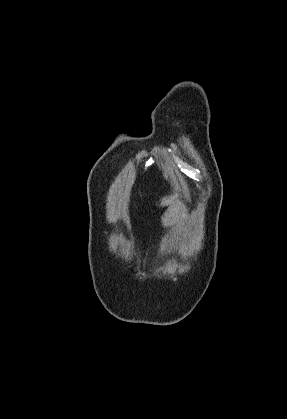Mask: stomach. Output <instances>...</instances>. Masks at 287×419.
<instances>
[{"mask_svg":"<svg viewBox=\"0 0 287 419\" xmlns=\"http://www.w3.org/2000/svg\"><path fill=\"white\" fill-rule=\"evenodd\" d=\"M179 211H180V203L172 204L167 210V212L165 213V215L162 217V223L164 225L171 223L175 219V217L178 215Z\"/></svg>","mask_w":287,"mask_h":419,"instance_id":"obj_1","label":"stomach"}]
</instances>
